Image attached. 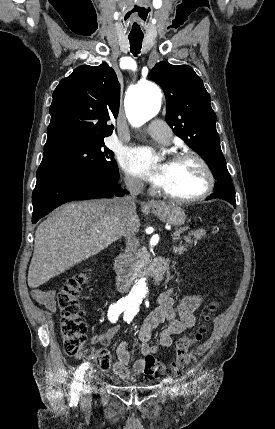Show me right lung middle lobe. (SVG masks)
Listing matches in <instances>:
<instances>
[{
    "instance_id": "obj_1",
    "label": "right lung middle lobe",
    "mask_w": 275,
    "mask_h": 429,
    "mask_svg": "<svg viewBox=\"0 0 275 429\" xmlns=\"http://www.w3.org/2000/svg\"><path fill=\"white\" fill-rule=\"evenodd\" d=\"M83 174L119 178L114 153L105 146L103 140L88 144H69L43 153L37 170L36 187L64 176Z\"/></svg>"
}]
</instances>
